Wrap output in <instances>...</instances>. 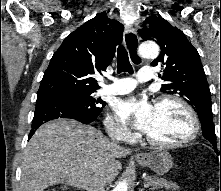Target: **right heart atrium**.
<instances>
[{"instance_id": "1", "label": "right heart atrium", "mask_w": 221, "mask_h": 191, "mask_svg": "<svg viewBox=\"0 0 221 191\" xmlns=\"http://www.w3.org/2000/svg\"><path fill=\"white\" fill-rule=\"evenodd\" d=\"M104 123L107 132L118 140L131 142L135 139V135L114 115L108 114L105 117Z\"/></svg>"}]
</instances>
